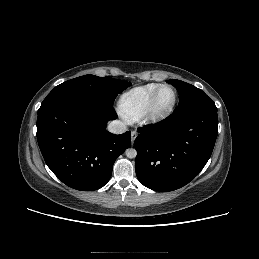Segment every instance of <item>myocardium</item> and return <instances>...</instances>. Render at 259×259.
I'll return each mask as SVG.
<instances>
[{
    "label": "myocardium",
    "mask_w": 259,
    "mask_h": 259,
    "mask_svg": "<svg viewBox=\"0 0 259 259\" xmlns=\"http://www.w3.org/2000/svg\"><path fill=\"white\" fill-rule=\"evenodd\" d=\"M166 88L170 89L173 92V99L168 107L164 109H159L157 107V99L160 92ZM176 103H177L176 89L169 84L160 85V87L154 92L149 102V105L146 109V112L143 115L144 121L151 125H156L161 123L172 114V112L175 109Z\"/></svg>",
    "instance_id": "1"
}]
</instances>
